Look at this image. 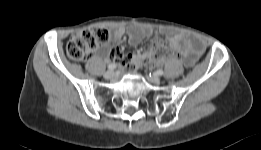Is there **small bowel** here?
Wrapping results in <instances>:
<instances>
[{"instance_id": "obj_1", "label": "small bowel", "mask_w": 261, "mask_h": 150, "mask_svg": "<svg viewBox=\"0 0 261 150\" xmlns=\"http://www.w3.org/2000/svg\"><path fill=\"white\" fill-rule=\"evenodd\" d=\"M128 34V43L136 46L145 38H150L153 35V29L149 26H131L126 30L124 27L115 28L111 33L110 42L117 44L121 41L124 34ZM170 45L175 49H181L184 52V63L190 66L202 54L204 46L201 41L193 38L184 37L176 34L169 38ZM99 53L103 56H108L117 60L121 65H126L130 68L138 67L145 59V54L137 52L134 54H124L119 49L110 48L108 45L103 46Z\"/></svg>"}]
</instances>
